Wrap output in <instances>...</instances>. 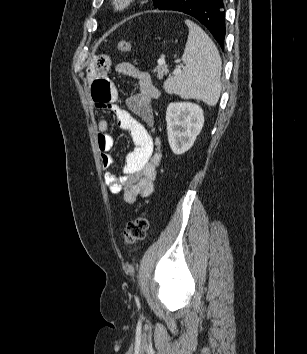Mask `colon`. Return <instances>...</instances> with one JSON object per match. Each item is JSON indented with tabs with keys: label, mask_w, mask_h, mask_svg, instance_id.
I'll return each instance as SVG.
<instances>
[{
	"label": "colon",
	"mask_w": 307,
	"mask_h": 354,
	"mask_svg": "<svg viewBox=\"0 0 307 354\" xmlns=\"http://www.w3.org/2000/svg\"><path fill=\"white\" fill-rule=\"evenodd\" d=\"M118 50L122 54H129L132 50V44L129 41L121 40L118 43ZM149 222L144 213L138 215L135 219L128 222L124 231V241L127 245H134L141 242L147 233Z\"/></svg>",
	"instance_id": "1"
}]
</instances>
